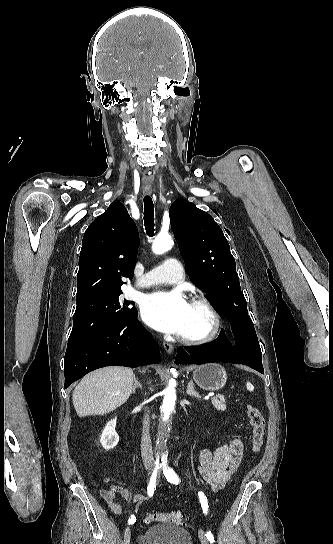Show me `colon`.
<instances>
[{"instance_id":"obj_1","label":"colon","mask_w":333,"mask_h":544,"mask_svg":"<svg viewBox=\"0 0 333 544\" xmlns=\"http://www.w3.org/2000/svg\"><path fill=\"white\" fill-rule=\"evenodd\" d=\"M247 417L251 426L250 448L253 454H258L263 446L265 434V419L261 411L255 406H248ZM146 523L165 522L179 526L185 524V516L179 511L173 512H151L144 520Z\"/></svg>"}]
</instances>
